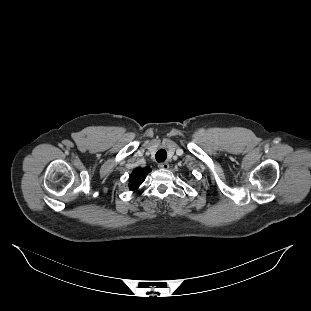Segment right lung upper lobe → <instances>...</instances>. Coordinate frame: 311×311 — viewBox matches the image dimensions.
Here are the masks:
<instances>
[{
    "mask_svg": "<svg viewBox=\"0 0 311 311\" xmlns=\"http://www.w3.org/2000/svg\"><path fill=\"white\" fill-rule=\"evenodd\" d=\"M149 172H151L150 168H136L130 175V189L137 190Z\"/></svg>",
    "mask_w": 311,
    "mask_h": 311,
    "instance_id": "cb5924a9",
    "label": "right lung upper lobe"
}]
</instances>
